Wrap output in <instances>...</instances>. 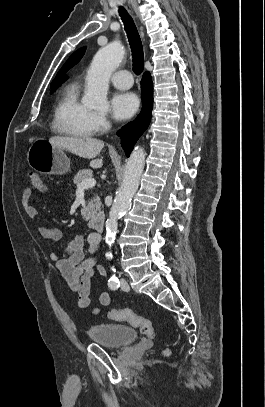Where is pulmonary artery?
Masks as SVG:
<instances>
[{"mask_svg": "<svg viewBox=\"0 0 265 407\" xmlns=\"http://www.w3.org/2000/svg\"><path fill=\"white\" fill-rule=\"evenodd\" d=\"M113 85L118 89H129L133 84V78L128 70H119L111 76Z\"/></svg>", "mask_w": 265, "mask_h": 407, "instance_id": "obj_1", "label": "pulmonary artery"}]
</instances>
